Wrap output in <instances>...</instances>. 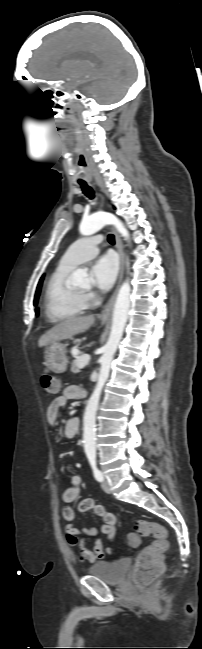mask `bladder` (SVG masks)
<instances>
[{
    "instance_id": "bladder-1",
    "label": "bladder",
    "mask_w": 202,
    "mask_h": 649,
    "mask_svg": "<svg viewBox=\"0 0 202 649\" xmlns=\"http://www.w3.org/2000/svg\"><path fill=\"white\" fill-rule=\"evenodd\" d=\"M130 561L120 558L114 561H99L88 569V574L108 584H119L127 576Z\"/></svg>"
}]
</instances>
